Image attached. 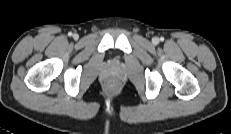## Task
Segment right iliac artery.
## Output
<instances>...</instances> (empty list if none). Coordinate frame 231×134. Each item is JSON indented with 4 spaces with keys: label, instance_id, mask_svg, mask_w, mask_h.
Segmentation results:
<instances>
[{
    "label": "right iliac artery",
    "instance_id": "82829eb1",
    "mask_svg": "<svg viewBox=\"0 0 231 134\" xmlns=\"http://www.w3.org/2000/svg\"><path fill=\"white\" fill-rule=\"evenodd\" d=\"M68 35H69V36H72V32H69Z\"/></svg>",
    "mask_w": 231,
    "mask_h": 134
}]
</instances>
